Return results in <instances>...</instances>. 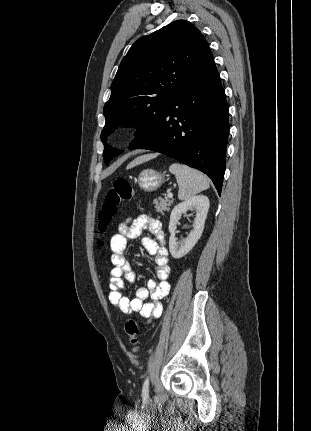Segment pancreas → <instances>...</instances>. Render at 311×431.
Instances as JSON below:
<instances>
[{
	"mask_svg": "<svg viewBox=\"0 0 311 431\" xmlns=\"http://www.w3.org/2000/svg\"><path fill=\"white\" fill-rule=\"evenodd\" d=\"M174 200H164V198H158V200H154L153 204L155 206V212L161 214V216H165V212H169L170 206H172Z\"/></svg>",
	"mask_w": 311,
	"mask_h": 431,
	"instance_id": "pancreas-1",
	"label": "pancreas"
}]
</instances>
